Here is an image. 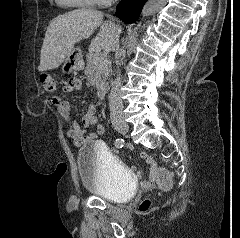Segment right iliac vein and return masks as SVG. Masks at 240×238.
I'll use <instances>...</instances> for the list:
<instances>
[{"instance_id":"1","label":"right iliac vein","mask_w":240,"mask_h":238,"mask_svg":"<svg viewBox=\"0 0 240 238\" xmlns=\"http://www.w3.org/2000/svg\"><path fill=\"white\" fill-rule=\"evenodd\" d=\"M115 128L121 134H126L128 132V130H129L128 124L123 122V121L117 122L116 125H115Z\"/></svg>"}]
</instances>
